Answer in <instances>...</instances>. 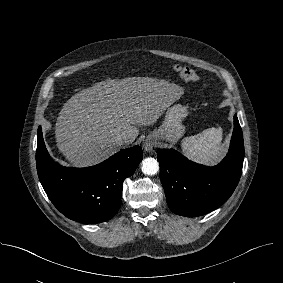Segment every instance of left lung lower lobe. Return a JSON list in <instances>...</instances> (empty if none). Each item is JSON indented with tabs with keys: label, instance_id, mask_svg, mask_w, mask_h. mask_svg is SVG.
<instances>
[{
	"label": "left lung lower lobe",
	"instance_id": "obj_1",
	"mask_svg": "<svg viewBox=\"0 0 283 283\" xmlns=\"http://www.w3.org/2000/svg\"><path fill=\"white\" fill-rule=\"evenodd\" d=\"M157 154L170 210L187 217L207 214L228 200L242 173L244 143L238 118L234 116L228 154L214 167L194 163L174 149H159Z\"/></svg>",
	"mask_w": 283,
	"mask_h": 283
}]
</instances>
